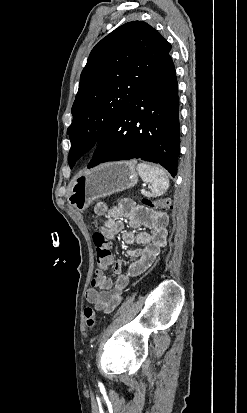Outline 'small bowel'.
I'll list each match as a JSON object with an SVG mask.
<instances>
[{
  "label": "small bowel",
  "instance_id": "obj_1",
  "mask_svg": "<svg viewBox=\"0 0 247 413\" xmlns=\"http://www.w3.org/2000/svg\"><path fill=\"white\" fill-rule=\"evenodd\" d=\"M94 213L98 216L109 214L110 218L102 230L106 237L111 238L121 233L124 244L144 246L143 249L128 252L131 263L126 272H124L122 260L114 261L112 270L116 275L115 281L107 275L92 279L91 287L86 291L85 298L95 310L107 314L121 303L122 294L130 282V276L144 274L153 264L160 249L166 244L168 218L163 213L138 207L129 201L127 203L123 201L111 207H108L105 202H98L94 207ZM125 226L128 229H125ZM143 227L149 228L151 233L140 231L134 234L132 231Z\"/></svg>",
  "mask_w": 247,
  "mask_h": 413
}]
</instances>
